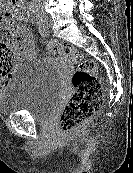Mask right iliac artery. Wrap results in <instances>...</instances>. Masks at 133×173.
<instances>
[{
  "label": "right iliac artery",
  "mask_w": 133,
  "mask_h": 173,
  "mask_svg": "<svg viewBox=\"0 0 133 173\" xmlns=\"http://www.w3.org/2000/svg\"><path fill=\"white\" fill-rule=\"evenodd\" d=\"M32 15L39 19L38 24H39L40 33L42 35H45V29L42 26V17H40V14H37L34 9H32Z\"/></svg>",
  "instance_id": "1"
}]
</instances>
